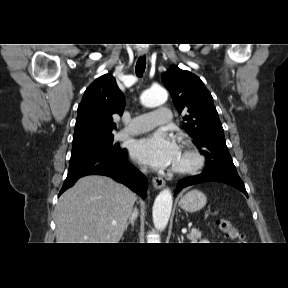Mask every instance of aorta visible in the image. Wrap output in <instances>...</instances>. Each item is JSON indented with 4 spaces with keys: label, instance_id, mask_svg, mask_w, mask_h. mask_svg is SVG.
Instances as JSON below:
<instances>
[{
    "label": "aorta",
    "instance_id": "1",
    "mask_svg": "<svg viewBox=\"0 0 288 288\" xmlns=\"http://www.w3.org/2000/svg\"><path fill=\"white\" fill-rule=\"evenodd\" d=\"M168 94L165 89L151 88L144 91L140 97L141 103L146 107H155L166 102ZM173 204V197L169 189L162 190L156 197L153 209V223L157 230H164L168 224Z\"/></svg>",
    "mask_w": 288,
    "mask_h": 288
}]
</instances>
